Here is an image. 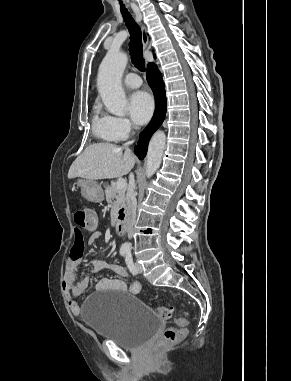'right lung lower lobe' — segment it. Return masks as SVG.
Returning <instances> with one entry per match:
<instances>
[{
  "label": "right lung lower lobe",
  "mask_w": 291,
  "mask_h": 381,
  "mask_svg": "<svg viewBox=\"0 0 291 381\" xmlns=\"http://www.w3.org/2000/svg\"><path fill=\"white\" fill-rule=\"evenodd\" d=\"M147 81L152 88L155 97V111L150 124L140 134L135 154L139 159L146 156L148 142L152 134L161 126L166 114L165 85L162 76L154 63H150L147 69Z\"/></svg>",
  "instance_id": "obj_1"
}]
</instances>
